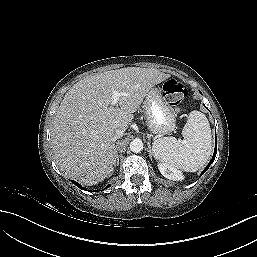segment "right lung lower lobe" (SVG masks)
I'll return each mask as SVG.
<instances>
[{
	"label": "right lung lower lobe",
	"mask_w": 257,
	"mask_h": 257,
	"mask_svg": "<svg viewBox=\"0 0 257 257\" xmlns=\"http://www.w3.org/2000/svg\"><path fill=\"white\" fill-rule=\"evenodd\" d=\"M73 182L77 187L81 188V189H84L80 184H78L77 182L75 181H71ZM110 185H108L106 188H108Z\"/></svg>",
	"instance_id": "right-lung-lower-lobe-1"
}]
</instances>
